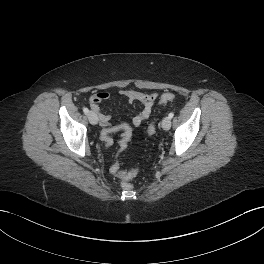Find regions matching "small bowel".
<instances>
[{
  "label": "small bowel",
  "instance_id": "c3829d8e",
  "mask_svg": "<svg viewBox=\"0 0 264 264\" xmlns=\"http://www.w3.org/2000/svg\"><path fill=\"white\" fill-rule=\"evenodd\" d=\"M121 96L127 99L129 102H140L143 105V109L133 117L132 123L135 126H140L143 124L151 115L155 101L157 100L158 94L155 92L152 93H143L134 90H122L120 92ZM110 95L105 91H99L94 93L89 100L90 108L97 115L100 126L103 128V131H111L112 133H121V140L119 142L120 148L119 151H122L126 148L123 144V131L127 130L131 133V128L126 123H120L117 125H111V117L105 113L101 104L108 101ZM119 169L118 162H114L111 167V173L115 174Z\"/></svg>",
  "mask_w": 264,
  "mask_h": 264
}]
</instances>
